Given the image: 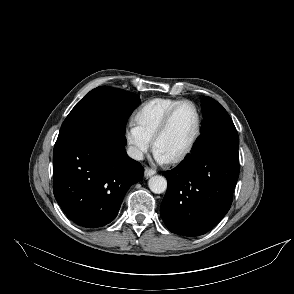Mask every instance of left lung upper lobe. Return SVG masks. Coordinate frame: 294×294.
Wrapping results in <instances>:
<instances>
[{
	"label": "left lung upper lobe",
	"mask_w": 294,
	"mask_h": 294,
	"mask_svg": "<svg viewBox=\"0 0 294 294\" xmlns=\"http://www.w3.org/2000/svg\"><path fill=\"white\" fill-rule=\"evenodd\" d=\"M201 105L204 118L201 134L221 128H235L226 110L216 100L206 96Z\"/></svg>",
	"instance_id": "obj_1"
}]
</instances>
